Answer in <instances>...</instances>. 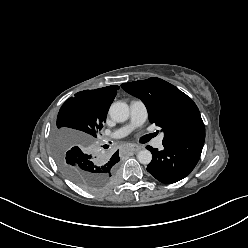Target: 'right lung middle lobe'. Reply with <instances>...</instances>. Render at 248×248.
<instances>
[{"mask_svg":"<svg viewBox=\"0 0 248 248\" xmlns=\"http://www.w3.org/2000/svg\"><path fill=\"white\" fill-rule=\"evenodd\" d=\"M106 113L95 112L86 105L85 98L77 93L60 108L55 132V156L63 172L77 185L88 191L106 188L114 179L119 160L91 153L86 146H74L65 154L66 144L76 145L97 138ZM71 128L72 130H58Z\"/></svg>","mask_w":248,"mask_h":248,"instance_id":"right-lung-middle-lobe-1","label":"right lung middle lobe"}]
</instances>
